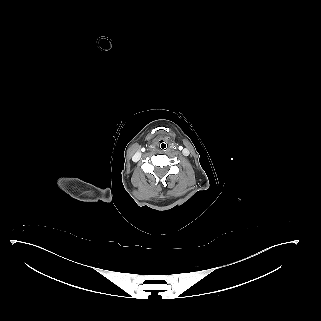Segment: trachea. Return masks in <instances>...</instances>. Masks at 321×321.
<instances>
[{
    "instance_id": "trachea-1",
    "label": "trachea",
    "mask_w": 321,
    "mask_h": 321,
    "mask_svg": "<svg viewBox=\"0 0 321 321\" xmlns=\"http://www.w3.org/2000/svg\"><path fill=\"white\" fill-rule=\"evenodd\" d=\"M160 148H161V150L164 151V150H166L167 146H166V144L163 143V144H161Z\"/></svg>"
}]
</instances>
